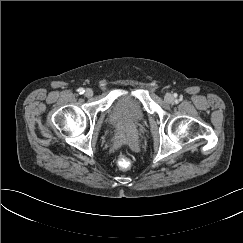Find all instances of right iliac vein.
I'll list each match as a JSON object with an SVG mask.
<instances>
[{"label": "right iliac vein", "instance_id": "63e3f726", "mask_svg": "<svg viewBox=\"0 0 243 243\" xmlns=\"http://www.w3.org/2000/svg\"><path fill=\"white\" fill-rule=\"evenodd\" d=\"M86 97H91L93 95V90L90 89V88H87L85 90V94H84Z\"/></svg>", "mask_w": 243, "mask_h": 243}]
</instances>
